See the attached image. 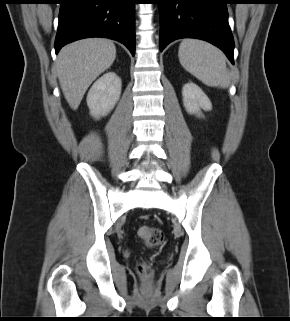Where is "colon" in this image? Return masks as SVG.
I'll return each mask as SVG.
<instances>
[{
  "label": "colon",
  "instance_id": "1",
  "mask_svg": "<svg viewBox=\"0 0 290 321\" xmlns=\"http://www.w3.org/2000/svg\"><path fill=\"white\" fill-rule=\"evenodd\" d=\"M139 237L149 247H157L162 244L164 240V234L161 229L152 226H141L138 229ZM138 273L142 280L147 282L152 277V268L149 263L143 262L138 265Z\"/></svg>",
  "mask_w": 290,
  "mask_h": 321
}]
</instances>
